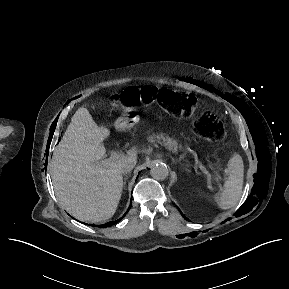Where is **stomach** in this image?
I'll return each instance as SVG.
<instances>
[{"mask_svg":"<svg viewBox=\"0 0 289 289\" xmlns=\"http://www.w3.org/2000/svg\"><path fill=\"white\" fill-rule=\"evenodd\" d=\"M137 116L133 111H126L118 118L115 127L118 130H129L136 123Z\"/></svg>","mask_w":289,"mask_h":289,"instance_id":"1","label":"stomach"}]
</instances>
